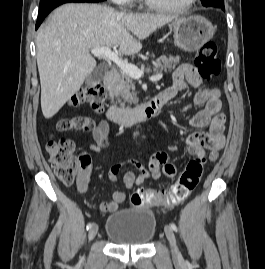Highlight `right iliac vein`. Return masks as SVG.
<instances>
[{
    "mask_svg": "<svg viewBox=\"0 0 265 269\" xmlns=\"http://www.w3.org/2000/svg\"><path fill=\"white\" fill-rule=\"evenodd\" d=\"M98 232V226L96 224H94L90 229H89V232H88V238L89 240H93L94 237L96 236Z\"/></svg>",
    "mask_w": 265,
    "mask_h": 269,
    "instance_id": "right-iliac-vein-1",
    "label": "right iliac vein"
}]
</instances>
